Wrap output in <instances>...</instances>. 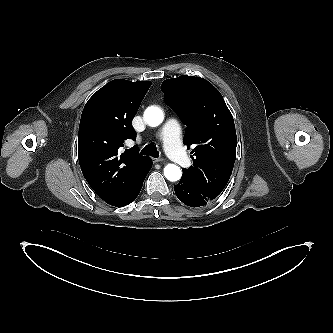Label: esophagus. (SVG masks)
I'll return each mask as SVG.
<instances>
[{
	"instance_id": "esophagus-1",
	"label": "esophagus",
	"mask_w": 333,
	"mask_h": 333,
	"mask_svg": "<svg viewBox=\"0 0 333 333\" xmlns=\"http://www.w3.org/2000/svg\"><path fill=\"white\" fill-rule=\"evenodd\" d=\"M152 161H153V163H158V162H163L164 159L163 158H154V157H152Z\"/></svg>"
}]
</instances>
